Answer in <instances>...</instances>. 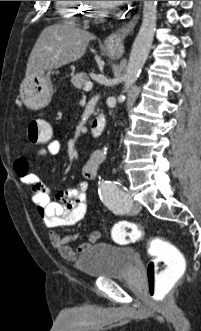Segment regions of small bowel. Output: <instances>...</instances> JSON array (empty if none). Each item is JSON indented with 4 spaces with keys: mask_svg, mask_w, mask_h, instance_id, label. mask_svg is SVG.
Masks as SVG:
<instances>
[{
    "mask_svg": "<svg viewBox=\"0 0 201 331\" xmlns=\"http://www.w3.org/2000/svg\"><path fill=\"white\" fill-rule=\"evenodd\" d=\"M61 153V143L53 140L37 152L40 156L55 157ZM106 158V153L95 150L82 169L85 180L93 179L101 163ZM14 170L18 178L29 186L31 198L36 206L39 216L47 228L54 229L63 226H73L80 222L87 211V184L78 182L74 187L60 191L55 198L50 195L49 189L30 171L29 161L19 158L14 163ZM76 234L62 236L56 231L50 232L52 245L67 260L73 261L85 252L92 243L100 238L99 232H94L88 242L81 243L77 248H72L71 243L76 239Z\"/></svg>",
    "mask_w": 201,
    "mask_h": 331,
    "instance_id": "1",
    "label": "small bowel"
}]
</instances>
